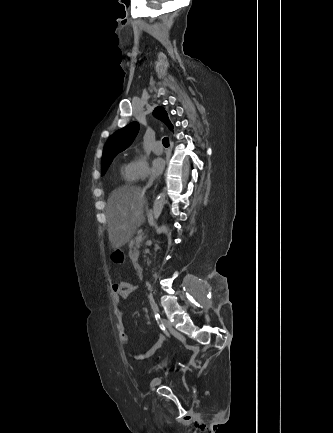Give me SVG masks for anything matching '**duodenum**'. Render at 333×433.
Here are the masks:
<instances>
[{"instance_id": "410a0bca", "label": "duodenum", "mask_w": 333, "mask_h": 433, "mask_svg": "<svg viewBox=\"0 0 333 433\" xmlns=\"http://www.w3.org/2000/svg\"><path fill=\"white\" fill-rule=\"evenodd\" d=\"M131 241H129V249H134V238L132 237L131 239H130ZM133 263H135L137 260L135 259V258H133L132 260H131ZM135 268H137V273H138V276H139V278H141V279H143L144 277H145V272H144V269L142 268V267H139V264L138 263H135L134 265H133Z\"/></svg>"}]
</instances>
